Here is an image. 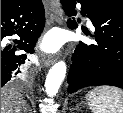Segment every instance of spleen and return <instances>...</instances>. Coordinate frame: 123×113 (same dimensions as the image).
Returning a JSON list of instances; mask_svg holds the SVG:
<instances>
[{
	"instance_id": "3e777b00",
	"label": "spleen",
	"mask_w": 123,
	"mask_h": 113,
	"mask_svg": "<svg viewBox=\"0 0 123 113\" xmlns=\"http://www.w3.org/2000/svg\"><path fill=\"white\" fill-rule=\"evenodd\" d=\"M86 101L92 113H123V91L99 86L88 92Z\"/></svg>"
}]
</instances>
